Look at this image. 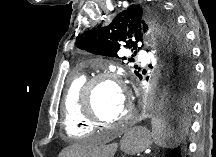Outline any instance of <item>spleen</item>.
Returning a JSON list of instances; mask_svg holds the SVG:
<instances>
[{"instance_id": "1", "label": "spleen", "mask_w": 216, "mask_h": 157, "mask_svg": "<svg viewBox=\"0 0 216 157\" xmlns=\"http://www.w3.org/2000/svg\"><path fill=\"white\" fill-rule=\"evenodd\" d=\"M154 143L167 149H173L178 146L179 137L172 127L162 118H154L152 120V133Z\"/></svg>"}]
</instances>
